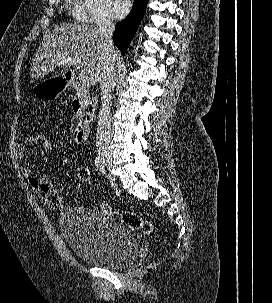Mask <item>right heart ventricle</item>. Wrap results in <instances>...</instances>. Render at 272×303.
Listing matches in <instances>:
<instances>
[{
    "label": "right heart ventricle",
    "mask_w": 272,
    "mask_h": 303,
    "mask_svg": "<svg viewBox=\"0 0 272 303\" xmlns=\"http://www.w3.org/2000/svg\"><path fill=\"white\" fill-rule=\"evenodd\" d=\"M67 8L77 22H86V13L81 0H68Z\"/></svg>",
    "instance_id": "1"
}]
</instances>
